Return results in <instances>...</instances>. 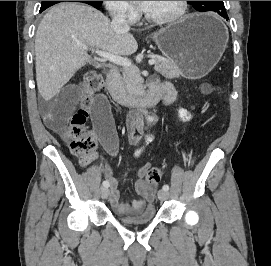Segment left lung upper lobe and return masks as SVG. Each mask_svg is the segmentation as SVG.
<instances>
[{
  "label": "left lung upper lobe",
  "instance_id": "5c2ea615",
  "mask_svg": "<svg viewBox=\"0 0 271 266\" xmlns=\"http://www.w3.org/2000/svg\"><path fill=\"white\" fill-rule=\"evenodd\" d=\"M198 11L226 12L223 1H188Z\"/></svg>",
  "mask_w": 271,
  "mask_h": 266
}]
</instances>
